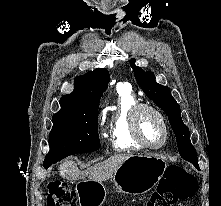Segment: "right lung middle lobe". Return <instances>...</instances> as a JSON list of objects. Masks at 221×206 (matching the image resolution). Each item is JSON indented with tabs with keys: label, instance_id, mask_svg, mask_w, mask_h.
Returning a JSON list of instances; mask_svg holds the SVG:
<instances>
[{
	"label": "right lung middle lobe",
	"instance_id": "right-lung-middle-lobe-1",
	"mask_svg": "<svg viewBox=\"0 0 221 206\" xmlns=\"http://www.w3.org/2000/svg\"><path fill=\"white\" fill-rule=\"evenodd\" d=\"M97 118L98 107L54 114L49 134L50 151L44 165H51L72 154L98 150Z\"/></svg>",
	"mask_w": 221,
	"mask_h": 206
}]
</instances>
